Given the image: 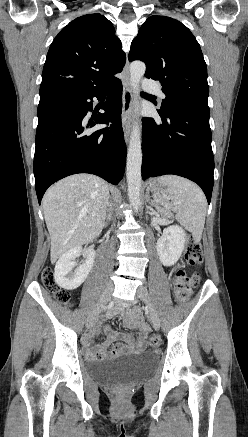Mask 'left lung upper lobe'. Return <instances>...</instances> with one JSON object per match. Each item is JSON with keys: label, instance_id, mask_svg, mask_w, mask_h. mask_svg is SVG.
<instances>
[{"label": "left lung upper lobe", "instance_id": "left-lung-upper-lobe-1", "mask_svg": "<svg viewBox=\"0 0 248 437\" xmlns=\"http://www.w3.org/2000/svg\"><path fill=\"white\" fill-rule=\"evenodd\" d=\"M142 60L145 76L160 81V113L178 106L208 107L207 66L196 38L181 22L151 16L132 41L129 61Z\"/></svg>", "mask_w": 248, "mask_h": 437}]
</instances>
